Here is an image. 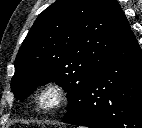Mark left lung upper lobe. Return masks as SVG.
Masks as SVG:
<instances>
[{
    "label": "left lung upper lobe",
    "mask_w": 142,
    "mask_h": 128,
    "mask_svg": "<svg viewBox=\"0 0 142 128\" xmlns=\"http://www.w3.org/2000/svg\"><path fill=\"white\" fill-rule=\"evenodd\" d=\"M134 34L116 0H57L34 22L16 60L11 89L23 100L39 85L68 91L70 115L86 83Z\"/></svg>",
    "instance_id": "obj_1"
}]
</instances>
